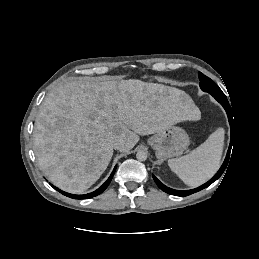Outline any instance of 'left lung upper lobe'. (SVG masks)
I'll return each mask as SVG.
<instances>
[{"label":"left lung upper lobe","mask_w":259,"mask_h":259,"mask_svg":"<svg viewBox=\"0 0 259 259\" xmlns=\"http://www.w3.org/2000/svg\"><path fill=\"white\" fill-rule=\"evenodd\" d=\"M200 87L203 91L210 93L211 95H223L224 93L218 87V85L213 82L210 78L199 72Z\"/></svg>","instance_id":"5c2ea615"}]
</instances>
